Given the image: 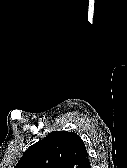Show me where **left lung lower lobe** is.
Instances as JSON below:
<instances>
[{
    "instance_id": "0a47b994",
    "label": "left lung lower lobe",
    "mask_w": 127,
    "mask_h": 168,
    "mask_svg": "<svg viewBox=\"0 0 127 168\" xmlns=\"http://www.w3.org/2000/svg\"><path fill=\"white\" fill-rule=\"evenodd\" d=\"M82 168H91L88 156H87L86 161H85L84 165L82 166Z\"/></svg>"
}]
</instances>
